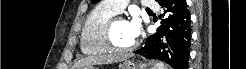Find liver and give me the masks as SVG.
<instances>
[{
    "label": "liver",
    "mask_w": 246,
    "mask_h": 69,
    "mask_svg": "<svg viewBox=\"0 0 246 69\" xmlns=\"http://www.w3.org/2000/svg\"><path fill=\"white\" fill-rule=\"evenodd\" d=\"M127 56L118 54H106L99 56H89L78 61L73 67V69H81L83 67H89L93 64H111L116 62H121L125 60Z\"/></svg>",
    "instance_id": "6515ba94"
}]
</instances>
